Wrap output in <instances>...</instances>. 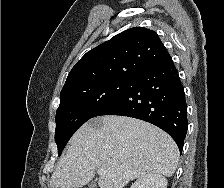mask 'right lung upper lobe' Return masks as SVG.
I'll use <instances>...</instances> for the list:
<instances>
[{
	"mask_svg": "<svg viewBox=\"0 0 224 188\" xmlns=\"http://www.w3.org/2000/svg\"><path fill=\"white\" fill-rule=\"evenodd\" d=\"M169 57L155 31L133 27L88 51L72 68L62 90L108 79H133Z\"/></svg>",
	"mask_w": 224,
	"mask_h": 188,
	"instance_id": "cb5924a9",
	"label": "right lung upper lobe"
}]
</instances>
